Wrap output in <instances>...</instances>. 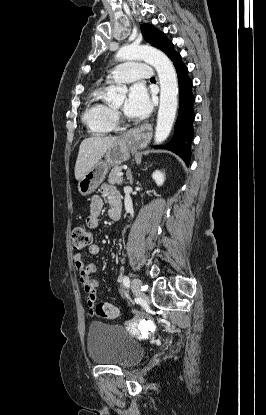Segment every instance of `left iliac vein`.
<instances>
[{
    "instance_id": "obj_1",
    "label": "left iliac vein",
    "mask_w": 266,
    "mask_h": 415,
    "mask_svg": "<svg viewBox=\"0 0 266 415\" xmlns=\"http://www.w3.org/2000/svg\"><path fill=\"white\" fill-rule=\"evenodd\" d=\"M141 286H142L141 280H139L138 278L132 279L131 289H132V292L138 297L143 296V292L141 291Z\"/></svg>"
}]
</instances>
